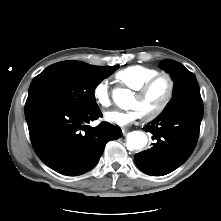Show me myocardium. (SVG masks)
I'll list each match as a JSON object with an SVG mask.
<instances>
[{"instance_id": "myocardium-1", "label": "myocardium", "mask_w": 221, "mask_h": 221, "mask_svg": "<svg viewBox=\"0 0 221 221\" xmlns=\"http://www.w3.org/2000/svg\"><path fill=\"white\" fill-rule=\"evenodd\" d=\"M161 79H165L167 81L168 89L163 102L153 112L146 115H141L142 119L147 122L158 118L170 105L175 93V79L170 73H159L143 83L138 89L134 90L136 96L144 97Z\"/></svg>"}]
</instances>
